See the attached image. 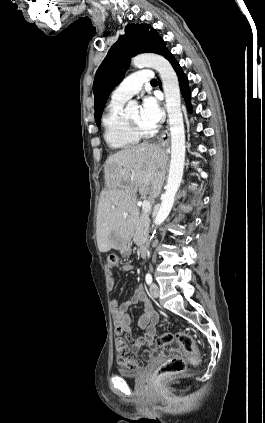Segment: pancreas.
<instances>
[{
	"mask_svg": "<svg viewBox=\"0 0 265 423\" xmlns=\"http://www.w3.org/2000/svg\"><path fill=\"white\" fill-rule=\"evenodd\" d=\"M149 228V213L143 212L140 216L139 223L136 225L135 232L133 233L134 241L142 243L148 232Z\"/></svg>",
	"mask_w": 265,
	"mask_h": 423,
	"instance_id": "pancreas-1",
	"label": "pancreas"
}]
</instances>
